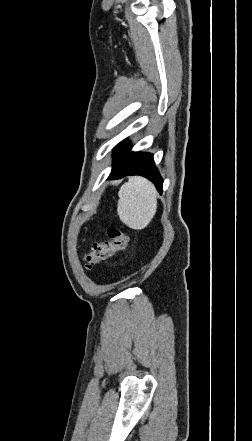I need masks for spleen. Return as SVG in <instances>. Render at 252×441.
<instances>
[{
  "label": "spleen",
  "mask_w": 252,
  "mask_h": 441,
  "mask_svg": "<svg viewBox=\"0 0 252 441\" xmlns=\"http://www.w3.org/2000/svg\"><path fill=\"white\" fill-rule=\"evenodd\" d=\"M117 212L120 220L136 230L144 229L157 210V191L147 179L132 177L123 184L118 193Z\"/></svg>",
  "instance_id": "obj_1"
}]
</instances>
